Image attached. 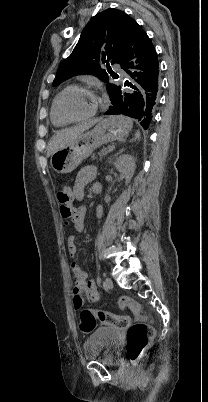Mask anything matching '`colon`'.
I'll use <instances>...</instances> for the list:
<instances>
[{
	"mask_svg": "<svg viewBox=\"0 0 208 402\" xmlns=\"http://www.w3.org/2000/svg\"><path fill=\"white\" fill-rule=\"evenodd\" d=\"M57 199L60 204V213L65 224L77 221L78 216L73 204L75 200L74 187L69 184H62L57 192ZM118 304L122 310H129L130 308L139 311V306L131 303L129 297H120ZM83 305V300L79 298V306ZM130 314L127 311L122 312L121 315L104 312L97 309L86 308L85 306L80 313L79 328L83 334L93 332L96 327L100 325H111L119 328L127 327V340L128 351L130 360L134 361L143 352L149 338L154 336V324H130Z\"/></svg>",
	"mask_w": 208,
	"mask_h": 402,
	"instance_id": "1",
	"label": "colon"
}]
</instances>
